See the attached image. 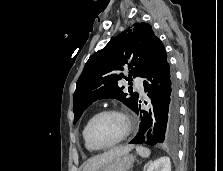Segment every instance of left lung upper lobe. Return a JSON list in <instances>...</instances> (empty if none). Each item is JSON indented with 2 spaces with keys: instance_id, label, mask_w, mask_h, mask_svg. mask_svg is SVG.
<instances>
[{
  "instance_id": "left-lung-upper-lobe-1",
  "label": "left lung upper lobe",
  "mask_w": 223,
  "mask_h": 171,
  "mask_svg": "<svg viewBox=\"0 0 223 171\" xmlns=\"http://www.w3.org/2000/svg\"><path fill=\"white\" fill-rule=\"evenodd\" d=\"M158 41L150 24L135 23L92 55L85 64L74 92V123L89 105L102 98H116L134 110L138 93L128 96L118 86V81L125 78L131 82L132 75L143 77ZM125 67L129 69V78L122 73Z\"/></svg>"
}]
</instances>
